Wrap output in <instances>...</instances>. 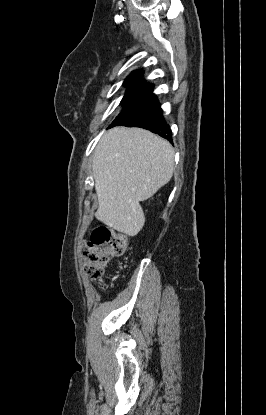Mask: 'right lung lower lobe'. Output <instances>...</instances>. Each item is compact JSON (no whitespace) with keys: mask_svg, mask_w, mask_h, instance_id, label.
<instances>
[{"mask_svg":"<svg viewBox=\"0 0 266 415\" xmlns=\"http://www.w3.org/2000/svg\"><path fill=\"white\" fill-rule=\"evenodd\" d=\"M113 126L144 128L173 143L171 129L154 94L123 110L109 127Z\"/></svg>","mask_w":266,"mask_h":415,"instance_id":"obj_1","label":"right lung lower lobe"}]
</instances>
